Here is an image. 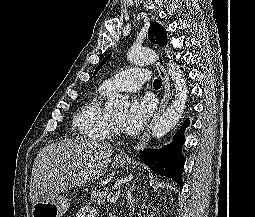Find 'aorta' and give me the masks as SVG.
<instances>
[{"mask_svg":"<svg viewBox=\"0 0 255 217\" xmlns=\"http://www.w3.org/2000/svg\"><path fill=\"white\" fill-rule=\"evenodd\" d=\"M158 54L148 48H132L128 52V59L133 64H151L155 62ZM168 73L171 76L175 86V98L161 117L152 124V136L162 138L169 133L172 128L179 122L188 97L186 80L179 67L172 62L167 64ZM108 110H124L128 107V101L125 97L117 95L110 97L106 103Z\"/></svg>","mask_w":255,"mask_h":217,"instance_id":"obj_1","label":"aorta"}]
</instances>
